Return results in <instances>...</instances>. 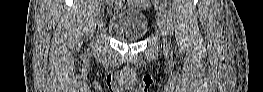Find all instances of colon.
<instances>
[{
    "mask_svg": "<svg viewBox=\"0 0 263 92\" xmlns=\"http://www.w3.org/2000/svg\"><path fill=\"white\" fill-rule=\"evenodd\" d=\"M155 2H157V1H155ZM117 8H118V7H111V8H110V11H111V12H114V11L117 10Z\"/></svg>",
    "mask_w": 263,
    "mask_h": 92,
    "instance_id": "colon-1",
    "label": "colon"
}]
</instances>
